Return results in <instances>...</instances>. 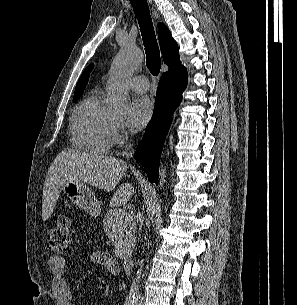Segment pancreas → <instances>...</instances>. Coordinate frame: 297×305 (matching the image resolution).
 Returning <instances> with one entry per match:
<instances>
[{
    "instance_id": "1",
    "label": "pancreas",
    "mask_w": 297,
    "mask_h": 305,
    "mask_svg": "<svg viewBox=\"0 0 297 305\" xmlns=\"http://www.w3.org/2000/svg\"><path fill=\"white\" fill-rule=\"evenodd\" d=\"M122 209H111L104 216V230L115 246V255L127 258L135 245V223L132 215Z\"/></svg>"
}]
</instances>
